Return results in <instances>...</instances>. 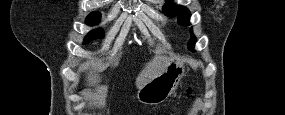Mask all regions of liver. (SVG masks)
Masks as SVG:
<instances>
[{"instance_id":"liver-1","label":"liver","mask_w":285,"mask_h":115,"mask_svg":"<svg viewBox=\"0 0 285 115\" xmlns=\"http://www.w3.org/2000/svg\"><path fill=\"white\" fill-rule=\"evenodd\" d=\"M172 59L164 56H155L151 61H149L139 75L136 78V87L140 89L151 79L161 75L168 65L171 63ZM96 63L94 61H87L82 65V68L88 69L90 67H95ZM100 82V76L92 74L91 72L87 78L88 86H95Z\"/></svg>"}]
</instances>
